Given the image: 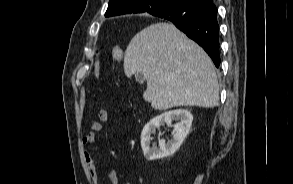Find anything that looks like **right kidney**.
<instances>
[{"label":"right kidney","mask_w":293,"mask_h":184,"mask_svg":"<svg viewBox=\"0 0 293 184\" xmlns=\"http://www.w3.org/2000/svg\"><path fill=\"white\" fill-rule=\"evenodd\" d=\"M174 120L177 122L173 125V139L167 143L164 140H159V148H150L151 134L155 132V129L165 124L171 125ZM192 121L193 115L186 109L164 112L151 119L141 133V147L146 159L153 161L172 156L187 137Z\"/></svg>","instance_id":"obj_1"}]
</instances>
